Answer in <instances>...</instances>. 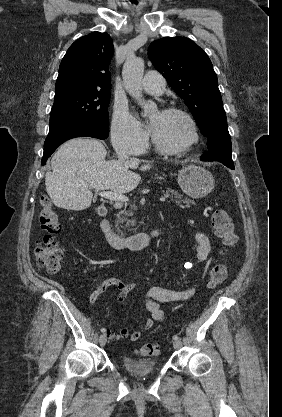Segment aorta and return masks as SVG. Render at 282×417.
Wrapping results in <instances>:
<instances>
[{
    "instance_id": "762f6f07",
    "label": "aorta",
    "mask_w": 282,
    "mask_h": 417,
    "mask_svg": "<svg viewBox=\"0 0 282 417\" xmlns=\"http://www.w3.org/2000/svg\"><path fill=\"white\" fill-rule=\"evenodd\" d=\"M144 72V60L143 58H126L123 64L122 76L125 82V90L136 98L138 104H141L144 108V112H151L156 110L155 102L151 100H144L142 96L141 78Z\"/></svg>"
}]
</instances>
